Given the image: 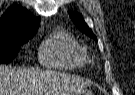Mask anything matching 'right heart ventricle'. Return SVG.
I'll return each instance as SVG.
<instances>
[{
  "mask_svg": "<svg viewBox=\"0 0 135 95\" xmlns=\"http://www.w3.org/2000/svg\"><path fill=\"white\" fill-rule=\"evenodd\" d=\"M39 58L44 65L55 68H81L89 62L84 46L64 29L53 31L43 40Z\"/></svg>",
  "mask_w": 135,
  "mask_h": 95,
  "instance_id": "1",
  "label": "right heart ventricle"
}]
</instances>
